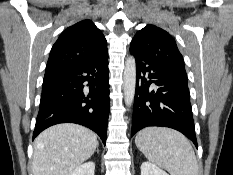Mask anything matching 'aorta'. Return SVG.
<instances>
[{
    "instance_id": "762f6f07",
    "label": "aorta",
    "mask_w": 233,
    "mask_h": 175,
    "mask_svg": "<svg viewBox=\"0 0 233 175\" xmlns=\"http://www.w3.org/2000/svg\"><path fill=\"white\" fill-rule=\"evenodd\" d=\"M123 80L124 101L127 106H131L136 88V61L132 56L128 57L125 62Z\"/></svg>"
}]
</instances>
